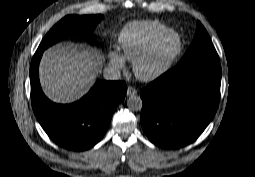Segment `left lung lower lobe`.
Here are the masks:
<instances>
[{
    "instance_id": "0a47b994",
    "label": "left lung lower lobe",
    "mask_w": 255,
    "mask_h": 177,
    "mask_svg": "<svg viewBox=\"0 0 255 177\" xmlns=\"http://www.w3.org/2000/svg\"><path fill=\"white\" fill-rule=\"evenodd\" d=\"M219 57L179 63L141 91V125L163 148L193 142L214 117L220 97Z\"/></svg>"
}]
</instances>
